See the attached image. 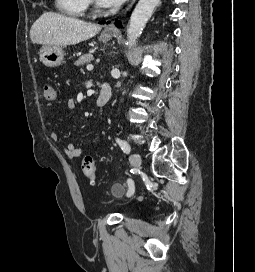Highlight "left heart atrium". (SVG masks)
Masks as SVG:
<instances>
[{
  "label": "left heart atrium",
  "mask_w": 255,
  "mask_h": 272,
  "mask_svg": "<svg viewBox=\"0 0 255 272\" xmlns=\"http://www.w3.org/2000/svg\"><path fill=\"white\" fill-rule=\"evenodd\" d=\"M125 0H98L100 5L104 7H116L121 5Z\"/></svg>",
  "instance_id": "obj_1"
}]
</instances>
